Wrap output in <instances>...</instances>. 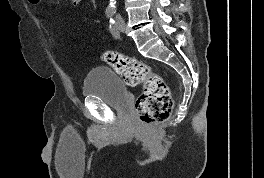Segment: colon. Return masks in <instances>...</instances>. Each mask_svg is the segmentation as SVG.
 Returning a JSON list of instances; mask_svg holds the SVG:
<instances>
[{"label": "colon", "mask_w": 264, "mask_h": 178, "mask_svg": "<svg viewBox=\"0 0 264 178\" xmlns=\"http://www.w3.org/2000/svg\"><path fill=\"white\" fill-rule=\"evenodd\" d=\"M100 60L113 67L127 85H143L135 103L136 113L143 123L163 122L170 117L174 102L169 88L161 76L151 72L147 64L115 51L103 52Z\"/></svg>", "instance_id": "colon-1"}]
</instances>
